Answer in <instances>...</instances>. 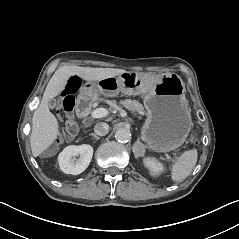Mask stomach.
Masks as SVG:
<instances>
[{"mask_svg": "<svg viewBox=\"0 0 239 239\" xmlns=\"http://www.w3.org/2000/svg\"><path fill=\"white\" fill-rule=\"evenodd\" d=\"M143 95L147 119L141 138L155 152L180 147L191 128L192 118L185 97V85L175 74L153 78L145 73L124 72L96 82L88 81L79 90L78 100L96 101L99 96Z\"/></svg>", "mask_w": 239, "mask_h": 239, "instance_id": "obj_1", "label": "stomach"}]
</instances>
